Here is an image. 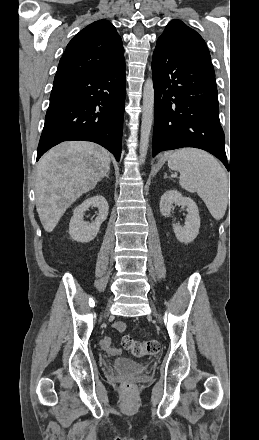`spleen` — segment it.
<instances>
[{
  "label": "spleen",
  "instance_id": "1",
  "mask_svg": "<svg viewBox=\"0 0 259 440\" xmlns=\"http://www.w3.org/2000/svg\"><path fill=\"white\" fill-rule=\"evenodd\" d=\"M168 166L179 171V183L188 192L197 194L211 215L219 220L228 204V176L220 163L209 153L183 148L168 156Z\"/></svg>",
  "mask_w": 259,
  "mask_h": 440
}]
</instances>
